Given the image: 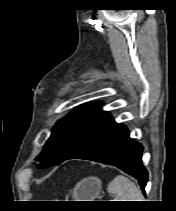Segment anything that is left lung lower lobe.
Returning <instances> with one entry per match:
<instances>
[{"label": "left lung lower lobe", "mask_w": 176, "mask_h": 211, "mask_svg": "<svg viewBox=\"0 0 176 211\" xmlns=\"http://www.w3.org/2000/svg\"><path fill=\"white\" fill-rule=\"evenodd\" d=\"M142 151V145L130 138L127 127L111 120L68 159L79 158L116 166L135 177L144 192L148 173L142 165Z\"/></svg>", "instance_id": "1"}]
</instances>
